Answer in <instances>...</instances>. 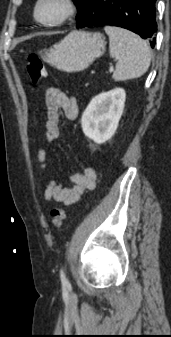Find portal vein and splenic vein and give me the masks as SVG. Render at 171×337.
<instances>
[{
    "mask_svg": "<svg viewBox=\"0 0 171 337\" xmlns=\"http://www.w3.org/2000/svg\"><path fill=\"white\" fill-rule=\"evenodd\" d=\"M109 71L112 72V71H113V68L111 67Z\"/></svg>",
    "mask_w": 171,
    "mask_h": 337,
    "instance_id": "18ae733b",
    "label": "portal vein and splenic vein"
}]
</instances>
